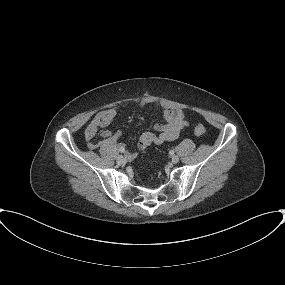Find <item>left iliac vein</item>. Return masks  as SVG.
Returning a JSON list of instances; mask_svg holds the SVG:
<instances>
[{"label":"left iliac vein","mask_w":285,"mask_h":285,"mask_svg":"<svg viewBox=\"0 0 285 285\" xmlns=\"http://www.w3.org/2000/svg\"><path fill=\"white\" fill-rule=\"evenodd\" d=\"M171 160H172V163L175 164V163H177L179 161V157L177 155H173Z\"/></svg>","instance_id":"left-iliac-vein-1"}]
</instances>
